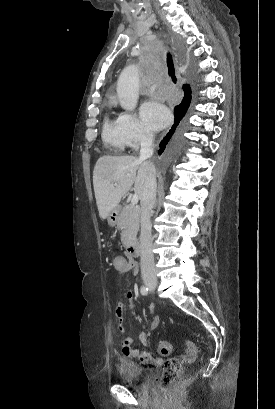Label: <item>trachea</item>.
Returning <instances> with one entry per match:
<instances>
[{"label": "trachea", "instance_id": "3493384b", "mask_svg": "<svg viewBox=\"0 0 275 409\" xmlns=\"http://www.w3.org/2000/svg\"><path fill=\"white\" fill-rule=\"evenodd\" d=\"M167 66L169 70V76L172 78L173 82L176 83L177 79L175 77V68H174L172 56L170 55V53L167 54Z\"/></svg>", "mask_w": 275, "mask_h": 409}]
</instances>
